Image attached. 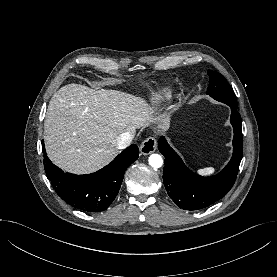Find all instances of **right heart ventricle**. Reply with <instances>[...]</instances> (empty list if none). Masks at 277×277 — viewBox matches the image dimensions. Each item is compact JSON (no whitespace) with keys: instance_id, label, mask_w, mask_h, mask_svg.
<instances>
[{"instance_id":"right-heart-ventricle-1","label":"right heart ventricle","mask_w":277,"mask_h":277,"mask_svg":"<svg viewBox=\"0 0 277 277\" xmlns=\"http://www.w3.org/2000/svg\"><path fill=\"white\" fill-rule=\"evenodd\" d=\"M165 96L163 94H156L151 98L152 102H161L164 100Z\"/></svg>"}]
</instances>
